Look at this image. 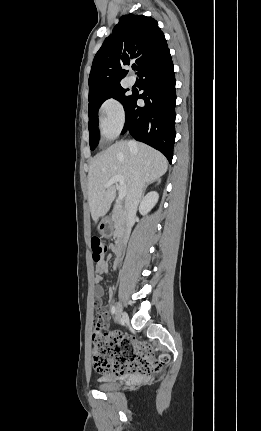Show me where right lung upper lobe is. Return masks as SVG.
Segmentation results:
<instances>
[{
    "mask_svg": "<svg viewBox=\"0 0 261 431\" xmlns=\"http://www.w3.org/2000/svg\"><path fill=\"white\" fill-rule=\"evenodd\" d=\"M167 48L158 22L144 15H124L96 53L89 75V96L120 85L131 61L139 72Z\"/></svg>",
    "mask_w": 261,
    "mask_h": 431,
    "instance_id": "cb5924a9",
    "label": "right lung upper lobe"
}]
</instances>
